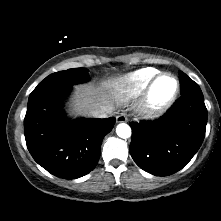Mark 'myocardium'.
<instances>
[{
    "label": "myocardium",
    "mask_w": 221,
    "mask_h": 221,
    "mask_svg": "<svg viewBox=\"0 0 221 221\" xmlns=\"http://www.w3.org/2000/svg\"><path fill=\"white\" fill-rule=\"evenodd\" d=\"M163 77L172 78L175 82V88L168 98H166L161 102H155L153 98L154 88L157 82ZM179 91H180V82L174 74L169 72L157 73L151 79V81L149 82V84L147 85L144 91L142 105H141L142 113L147 117H157L163 114L174 103V101L178 96Z\"/></svg>",
    "instance_id": "obj_1"
}]
</instances>
